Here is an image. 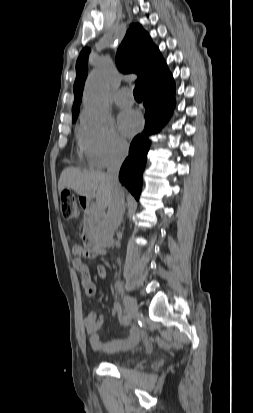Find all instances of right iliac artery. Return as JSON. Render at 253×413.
Instances as JSON below:
<instances>
[{
  "mask_svg": "<svg viewBox=\"0 0 253 413\" xmlns=\"http://www.w3.org/2000/svg\"><path fill=\"white\" fill-rule=\"evenodd\" d=\"M123 321L125 322V323H127L128 321H129V317H127V316H123Z\"/></svg>",
  "mask_w": 253,
  "mask_h": 413,
  "instance_id": "1",
  "label": "right iliac artery"
}]
</instances>
